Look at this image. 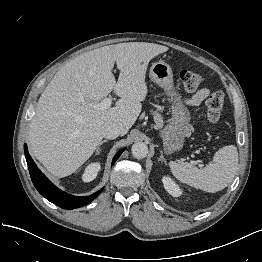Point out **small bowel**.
<instances>
[{
    "mask_svg": "<svg viewBox=\"0 0 262 262\" xmlns=\"http://www.w3.org/2000/svg\"><path fill=\"white\" fill-rule=\"evenodd\" d=\"M210 94V91L207 88H202L198 90L195 94L192 95L190 99L186 101L188 105H198L202 103Z\"/></svg>",
    "mask_w": 262,
    "mask_h": 262,
    "instance_id": "1",
    "label": "small bowel"
}]
</instances>
